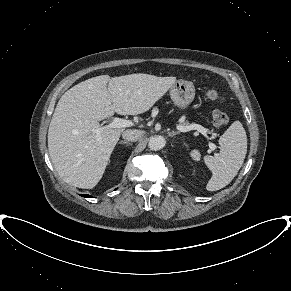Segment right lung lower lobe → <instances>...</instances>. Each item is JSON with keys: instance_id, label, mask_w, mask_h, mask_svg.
Instances as JSON below:
<instances>
[{"instance_id": "1", "label": "right lung lower lobe", "mask_w": 291, "mask_h": 291, "mask_svg": "<svg viewBox=\"0 0 291 291\" xmlns=\"http://www.w3.org/2000/svg\"><path fill=\"white\" fill-rule=\"evenodd\" d=\"M83 197H91L90 195H82Z\"/></svg>"}]
</instances>
